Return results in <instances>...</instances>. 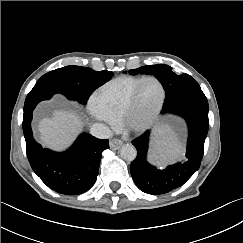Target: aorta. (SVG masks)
<instances>
[{
	"label": "aorta",
	"mask_w": 243,
	"mask_h": 243,
	"mask_svg": "<svg viewBox=\"0 0 243 243\" xmlns=\"http://www.w3.org/2000/svg\"><path fill=\"white\" fill-rule=\"evenodd\" d=\"M120 156L126 161H133L137 156V150L132 144H124L120 149Z\"/></svg>",
	"instance_id": "1"
}]
</instances>
